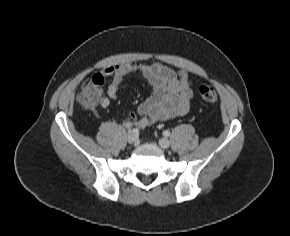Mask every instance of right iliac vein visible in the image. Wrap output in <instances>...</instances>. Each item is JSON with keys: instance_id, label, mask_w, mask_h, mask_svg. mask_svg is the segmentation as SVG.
Returning a JSON list of instances; mask_svg holds the SVG:
<instances>
[{"instance_id": "obj_1", "label": "right iliac vein", "mask_w": 290, "mask_h": 236, "mask_svg": "<svg viewBox=\"0 0 290 236\" xmlns=\"http://www.w3.org/2000/svg\"><path fill=\"white\" fill-rule=\"evenodd\" d=\"M127 141H128V143H130L132 145H137L138 137L135 134L130 133L127 137Z\"/></svg>"}]
</instances>
